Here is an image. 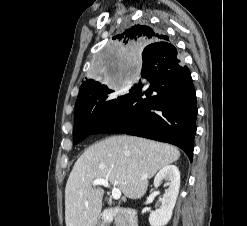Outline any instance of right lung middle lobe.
Instances as JSON below:
<instances>
[{"label": "right lung middle lobe", "instance_id": "dd1d6c3e", "mask_svg": "<svg viewBox=\"0 0 247 226\" xmlns=\"http://www.w3.org/2000/svg\"><path fill=\"white\" fill-rule=\"evenodd\" d=\"M124 93L117 89L98 87L76 101L73 129L74 144L93 134L97 125L120 103Z\"/></svg>", "mask_w": 247, "mask_h": 226}]
</instances>
